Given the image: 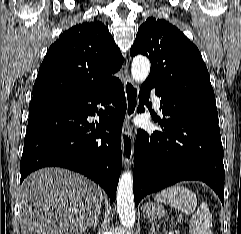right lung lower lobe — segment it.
Instances as JSON below:
<instances>
[{
	"label": "right lung lower lobe",
	"instance_id": "98d812e1",
	"mask_svg": "<svg viewBox=\"0 0 241 234\" xmlns=\"http://www.w3.org/2000/svg\"><path fill=\"white\" fill-rule=\"evenodd\" d=\"M125 112L124 88L118 78L90 95L29 110L21 182L39 168L64 167L99 184L113 202L122 167ZM95 113L100 121L91 125L87 117Z\"/></svg>",
	"mask_w": 241,
	"mask_h": 234
}]
</instances>
